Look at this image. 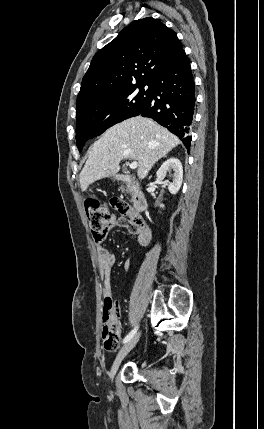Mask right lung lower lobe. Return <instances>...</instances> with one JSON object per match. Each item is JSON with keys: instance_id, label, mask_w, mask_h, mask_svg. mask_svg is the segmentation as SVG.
I'll return each instance as SVG.
<instances>
[{"instance_id": "right-lung-lower-lobe-1", "label": "right lung lower lobe", "mask_w": 264, "mask_h": 429, "mask_svg": "<svg viewBox=\"0 0 264 429\" xmlns=\"http://www.w3.org/2000/svg\"><path fill=\"white\" fill-rule=\"evenodd\" d=\"M151 87L152 96L138 115L152 118L166 127L189 150L195 84L190 62L184 51L153 80Z\"/></svg>"}]
</instances>
